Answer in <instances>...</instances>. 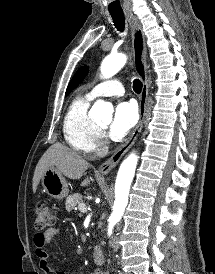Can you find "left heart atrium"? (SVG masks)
I'll return each instance as SVG.
<instances>
[{"instance_id": "39dd6f15", "label": "left heart atrium", "mask_w": 215, "mask_h": 274, "mask_svg": "<svg viewBox=\"0 0 215 274\" xmlns=\"http://www.w3.org/2000/svg\"><path fill=\"white\" fill-rule=\"evenodd\" d=\"M138 110L133 102L119 103L114 111L109 135L114 141H121L136 125Z\"/></svg>"}]
</instances>
